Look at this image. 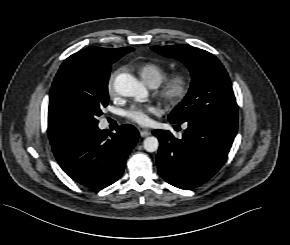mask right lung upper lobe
Masks as SVG:
<instances>
[{"instance_id":"cb5924a9","label":"right lung upper lobe","mask_w":290,"mask_h":245,"mask_svg":"<svg viewBox=\"0 0 290 245\" xmlns=\"http://www.w3.org/2000/svg\"><path fill=\"white\" fill-rule=\"evenodd\" d=\"M132 51H134L132 47L100 48L92 46L74 55L84 56L92 60H109L117 57L121 58ZM78 129L80 128L50 99L48 109V136L50 143L54 144Z\"/></svg>"}]
</instances>
